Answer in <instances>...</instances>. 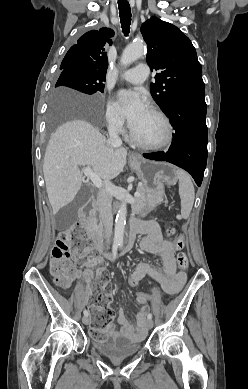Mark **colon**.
Segmentation results:
<instances>
[{
	"mask_svg": "<svg viewBox=\"0 0 248 389\" xmlns=\"http://www.w3.org/2000/svg\"><path fill=\"white\" fill-rule=\"evenodd\" d=\"M168 232L173 233V228H169ZM175 244L180 249L183 245V236H180ZM88 260L93 265V270L90 275L93 277L94 293L89 302L92 305L88 306V311L93 312V321L91 326L86 328L88 333H92L93 337L98 338L100 343L104 342L105 332L110 330L114 319V311L108 304L111 300L112 290L105 289L104 286L111 278L109 271L104 268L97 254L91 248L82 228L78 225L72 226L58 233L54 247L51 252L50 272L56 285L67 287L75 278L77 272L74 265L70 262ZM177 264L180 271L184 272L188 268V258L184 252H179L177 255ZM129 288H136L139 279L132 277L130 273L125 275ZM136 298H141L142 301H149L151 304H156L161 296L153 291H144L140 289L134 294Z\"/></svg>",
	"mask_w": 248,
	"mask_h": 389,
	"instance_id": "obj_1",
	"label": "colon"
}]
</instances>
